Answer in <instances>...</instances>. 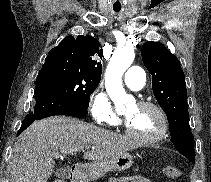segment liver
<instances>
[{
  "label": "liver",
  "mask_w": 211,
  "mask_h": 182,
  "mask_svg": "<svg viewBox=\"0 0 211 182\" xmlns=\"http://www.w3.org/2000/svg\"><path fill=\"white\" fill-rule=\"evenodd\" d=\"M90 147L83 157L103 161L137 145L116 133L66 116H54L32 123L18 138L10 164V182H47L61 154Z\"/></svg>",
  "instance_id": "1"
}]
</instances>
